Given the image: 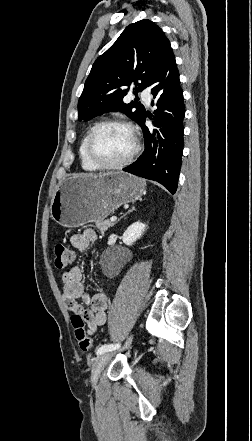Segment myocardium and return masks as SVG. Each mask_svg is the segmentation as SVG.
Segmentation results:
<instances>
[{
	"label": "myocardium",
	"instance_id": "f54148a6",
	"mask_svg": "<svg viewBox=\"0 0 252 441\" xmlns=\"http://www.w3.org/2000/svg\"><path fill=\"white\" fill-rule=\"evenodd\" d=\"M110 125L122 126V127L127 128L130 131V133L132 135V139H133V148H132L131 152L123 160L116 162V163H104V162L100 161L99 159H97L94 156L93 150H92L93 141H94V138H95L96 134L98 133V131L105 126H110ZM139 149H140L139 139H138V134H137L135 127L130 122L123 120V119H118V118L106 119V120L98 122L91 129L89 136H88V139H87V142H86L87 158L89 159V161L93 165H95L99 169L112 170V169L123 168L132 162V160L135 158V156L139 152Z\"/></svg>",
	"mask_w": 252,
	"mask_h": 441
}]
</instances>
